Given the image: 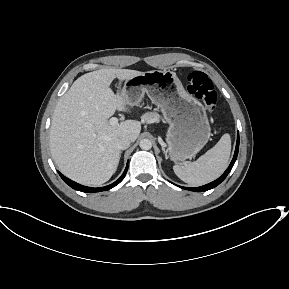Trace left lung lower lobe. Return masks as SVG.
<instances>
[{
    "label": "left lung lower lobe",
    "mask_w": 289,
    "mask_h": 289,
    "mask_svg": "<svg viewBox=\"0 0 289 289\" xmlns=\"http://www.w3.org/2000/svg\"><path fill=\"white\" fill-rule=\"evenodd\" d=\"M238 150H239V134L237 135V143H236V149H235V153H234V156H233V159L229 165V167L227 168V170L223 173L222 176H220L217 180L209 183V184H206L204 186H201V187H195V188H189V187H181L183 189H187V190H191V191H196V192H203V191H207V190H210L214 187H216L217 185H219L226 177L227 175L229 174V172L231 171L235 161H236V158H237V155H238Z\"/></svg>",
    "instance_id": "obj_1"
}]
</instances>
